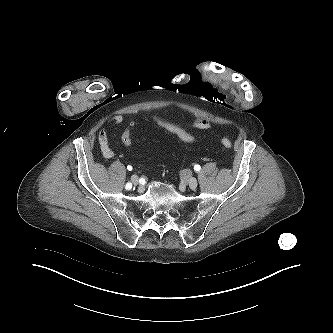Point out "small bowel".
Returning <instances> with one entry per match:
<instances>
[{
    "label": "small bowel",
    "instance_id": "obj_1",
    "mask_svg": "<svg viewBox=\"0 0 333 333\" xmlns=\"http://www.w3.org/2000/svg\"><path fill=\"white\" fill-rule=\"evenodd\" d=\"M123 122L122 115H114L108 121L110 126H119ZM188 127L196 129V130H209L211 128V124L207 120H196L188 124ZM98 142L100 145L101 152L104 157L112 158L114 156V152L109 145L108 133L106 130L102 129L98 133Z\"/></svg>",
    "mask_w": 333,
    "mask_h": 333
}]
</instances>
